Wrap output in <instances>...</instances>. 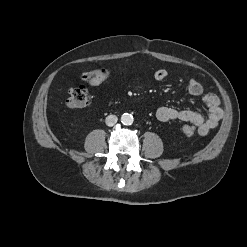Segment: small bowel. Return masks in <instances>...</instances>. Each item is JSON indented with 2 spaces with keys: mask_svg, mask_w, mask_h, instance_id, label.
I'll return each mask as SVG.
<instances>
[{
  "mask_svg": "<svg viewBox=\"0 0 247 247\" xmlns=\"http://www.w3.org/2000/svg\"><path fill=\"white\" fill-rule=\"evenodd\" d=\"M93 72L94 71L83 73L81 78L84 81H88ZM168 76L169 74L165 69L157 70L153 74L154 80L159 82L166 81ZM188 91L193 96H200L204 90L198 81L192 79L188 83ZM203 100L208 108V116L191 109H177L167 106L158 108L155 112V116L159 121L178 120L190 123L198 128L200 135L205 136L218 126L223 117V109L220 105L219 97L214 93L205 94Z\"/></svg>",
  "mask_w": 247,
  "mask_h": 247,
  "instance_id": "c3829d8e",
  "label": "small bowel"
}]
</instances>
